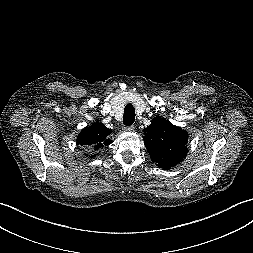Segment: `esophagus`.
<instances>
[{
    "label": "esophagus",
    "instance_id": "34e87169",
    "mask_svg": "<svg viewBox=\"0 0 253 253\" xmlns=\"http://www.w3.org/2000/svg\"><path fill=\"white\" fill-rule=\"evenodd\" d=\"M123 130L126 132H133L135 130V127H134V125L124 126Z\"/></svg>",
    "mask_w": 253,
    "mask_h": 253
}]
</instances>
